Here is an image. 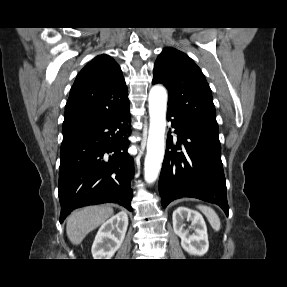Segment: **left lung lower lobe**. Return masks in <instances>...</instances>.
<instances>
[{
    "label": "left lung lower lobe",
    "instance_id": "left-lung-lower-lobe-1",
    "mask_svg": "<svg viewBox=\"0 0 287 287\" xmlns=\"http://www.w3.org/2000/svg\"><path fill=\"white\" fill-rule=\"evenodd\" d=\"M167 120L177 134H168L167 149L159 179L161 204L193 197L219 205L228 216L226 182L219 140L198 130L188 120L168 110Z\"/></svg>",
    "mask_w": 287,
    "mask_h": 287
}]
</instances>
